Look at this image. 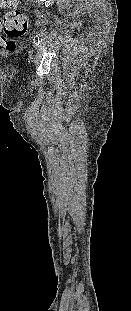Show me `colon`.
Segmentation results:
<instances>
[{"instance_id": "5ec220e1", "label": "colon", "mask_w": 131, "mask_h": 311, "mask_svg": "<svg viewBox=\"0 0 131 311\" xmlns=\"http://www.w3.org/2000/svg\"><path fill=\"white\" fill-rule=\"evenodd\" d=\"M10 9L0 19V50L14 51L15 39L22 36L27 28L25 13L17 8L16 0H0V9Z\"/></svg>"}]
</instances>
